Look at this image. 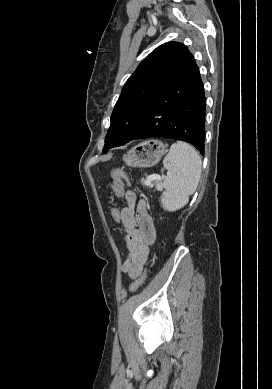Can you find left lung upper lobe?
<instances>
[{
  "mask_svg": "<svg viewBox=\"0 0 272 389\" xmlns=\"http://www.w3.org/2000/svg\"><path fill=\"white\" fill-rule=\"evenodd\" d=\"M193 59L184 44L168 42L157 47L139 64L125 83L112 112L104 153L128 142L156 96Z\"/></svg>",
  "mask_w": 272,
  "mask_h": 389,
  "instance_id": "obj_1",
  "label": "left lung upper lobe"
}]
</instances>
